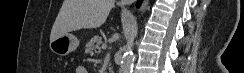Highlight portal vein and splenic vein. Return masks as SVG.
<instances>
[{
    "instance_id": "obj_1",
    "label": "portal vein and splenic vein",
    "mask_w": 244,
    "mask_h": 73,
    "mask_svg": "<svg viewBox=\"0 0 244 73\" xmlns=\"http://www.w3.org/2000/svg\"><path fill=\"white\" fill-rule=\"evenodd\" d=\"M106 48H107V45H106V44H103V45H102V49H103V50H106Z\"/></svg>"
}]
</instances>
